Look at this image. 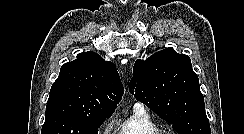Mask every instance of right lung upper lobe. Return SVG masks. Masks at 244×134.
Masks as SVG:
<instances>
[{
    "label": "right lung upper lobe",
    "instance_id": "obj_1",
    "mask_svg": "<svg viewBox=\"0 0 244 134\" xmlns=\"http://www.w3.org/2000/svg\"><path fill=\"white\" fill-rule=\"evenodd\" d=\"M122 95L123 86L114 64L97 53L84 52L62 65L46 108L60 107L86 116H111Z\"/></svg>",
    "mask_w": 244,
    "mask_h": 134
}]
</instances>
